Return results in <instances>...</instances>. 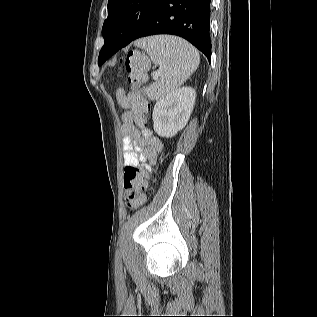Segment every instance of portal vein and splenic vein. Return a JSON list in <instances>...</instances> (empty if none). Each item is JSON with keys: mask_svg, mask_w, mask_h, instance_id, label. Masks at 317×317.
Here are the masks:
<instances>
[{"mask_svg": "<svg viewBox=\"0 0 317 317\" xmlns=\"http://www.w3.org/2000/svg\"><path fill=\"white\" fill-rule=\"evenodd\" d=\"M160 76V73L159 72H156L154 75H153V78L156 79Z\"/></svg>", "mask_w": 317, "mask_h": 317, "instance_id": "portal-vein-and-splenic-vein-1", "label": "portal vein and splenic vein"}]
</instances>
